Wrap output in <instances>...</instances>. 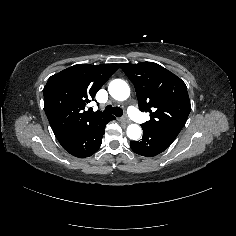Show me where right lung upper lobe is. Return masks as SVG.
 Listing matches in <instances>:
<instances>
[{"label":"right lung upper lobe","mask_w":236,"mask_h":236,"mask_svg":"<svg viewBox=\"0 0 236 236\" xmlns=\"http://www.w3.org/2000/svg\"><path fill=\"white\" fill-rule=\"evenodd\" d=\"M118 68V64H77L48 79L43 89L44 109L57 139L112 116L84 109Z\"/></svg>","instance_id":"1"}]
</instances>
